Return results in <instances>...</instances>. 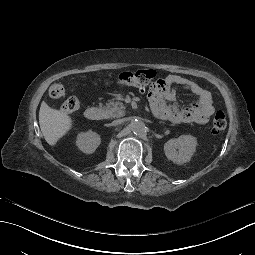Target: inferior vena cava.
Instances as JSON below:
<instances>
[{"instance_id": "inferior-vena-cava-1", "label": "inferior vena cava", "mask_w": 255, "mask_h": 255, "mask_svg": "<svg viewBox=\"0 0 255 255\" xmlns=\"http://www.w3.org/2000/svg\"><path fill=\"white\" fill-rule=\"evenodd\" d=\"M121 122L120 120H115L112 122V125L116 126V125H119Z\"/></svg>"}]
</instances>
